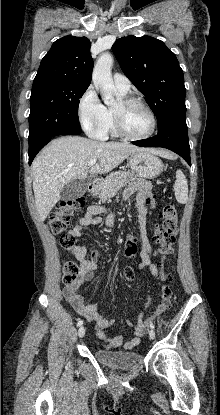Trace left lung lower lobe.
I'll return each mask as SVG.
<instances>
[{
	"label": "left lung lower lobe",
	"mask_w": 220,
	"mask_h": 415,
	"mask_svg": "<svg viewBox=\"0 0 220 415\" xmlns=\"http://www.w3.org/2000/svg\"><path fill=\"white\" fill-rule=\"evenodd\" d=\"M132 143L143 147L167 148L180 155L191 166L186 113L170 118L161 128H158V134L155 137Z\"/></svg>",
	"instance_id": "0a47b994"
}]
</instances>
